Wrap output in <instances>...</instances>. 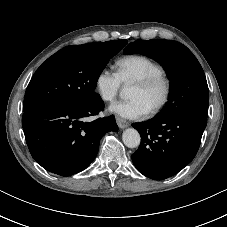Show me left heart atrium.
I'll return each instance as SVG.
<instances>
[{
	"instance_id": "39dd6f15",
	"label": "left heart atrium",
	"mask_w": 227,
	"mask_h": 227,
	"mask_svg": "<svg viewBox=\"0 0 227 227\" xmlns=\"http://www.w3.org/2000/svg\"><path fill=\"white\" fill-rule=\"evenodd\" d=\"M109 111L123 119H138L148 113L147 108L139 99H129L113 103Z\"/></svg>"
}]
</instances>
